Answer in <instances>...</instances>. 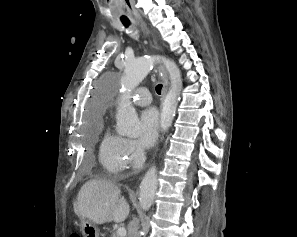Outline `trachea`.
Masks as SVG:
<instances>
[{
	"label": "trachea",
	"mask_w": 297,
	"mask_h": 237,
	"mask_svg": "<svg viewBox=\"0 0 297 237\" xmlns=\"http://www.w3.org/2000/svg\"><path fill=\"white\" fill-rule=\"evenodd\" d=\"M122 24L125 26V27H128L129 26V24H130V21H129V19H124V20H122ZM156 92H157V94H161V90H162V84H158L157 86H156Z\"/></svg>",
	"instance_id": "obj_1"
}]
</instances>
